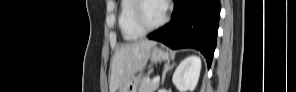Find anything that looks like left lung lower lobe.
Listing matches in <instances>:
<instances>
[{
	"label": "left lung lower lobe",
	"mask_w": 296,
	"mask_h": 92,
	"mask_svg": "<svg viewBox=\"0 0 296 92\" xmlns=\"http://www.w3.org/2000/svg\"><path fill=\"white\" fill-rule=\"evenodd\" d=\"M174 5L172 20L148 38L173 49L195 48L210 67L216 47L220 0H174Z\"/></svg>",
	"instance_id": "obj_1"
}]
</instances>
